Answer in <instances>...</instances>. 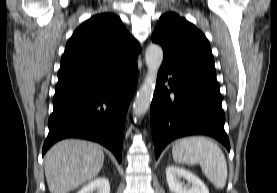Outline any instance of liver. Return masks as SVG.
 <instances>
[{
	"label": "liver",
	"instance_id": "6515ba94",
	"mask_svg": "<svg viewBox=\"0 0 277 193\" xmlns=\"http://www.w3.org/2000/svg\"><path fill=\"white\" fill-rule=\"evenodd\" d=\"M45 176L51 193H67L95 178L103 167L100 145L76 139L62 140L46 153Z\"/></svg>",
	"mask_w": 277,
	"mask_h": 193
}]
</instances>
